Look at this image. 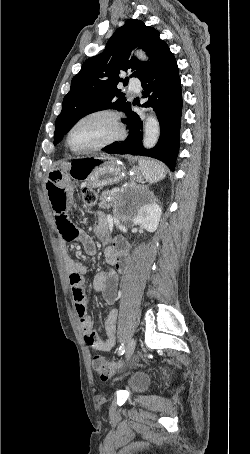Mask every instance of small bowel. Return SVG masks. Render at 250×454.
Wrapping results in <instances>:
<instances>
[{
	"mask_svg": "<svg viewBox=\"0 0 250 454\" xmlns=\"http://www.w3.org/2000/svg\"><path fill=\"white\" fill-rule=\"evenodd\" d=\"M76 190L77 183L71 175L56 171L50 173L46 182V192L54 212L59 233L68 242L79 239L84 251L88 255H93L96 252L95 242L75 227L68 214ZM95 232L101 241H108L107 224L103 216L99 217ZM105 260L109 268L95 275L93 287L103 295L107 304L113 305L117 301L118 283L120 276L125 271L127 261V246L122 239L117 238L111 245L106 247ZM64 262L68 272V280L76 314L83 331L85 342L97 351L106 352L111 350L115 344L117 310L111 309L108 313L105 320L106 336L99 338L97 332L92 327L91 318L87 314L84 284L88 278L89 270L85 265L74 261L68 255L64 256Z\"/></svg>",
	"mask_w": 250,
	"mask_h": 454,
	"instance_id": "c3829d8e",
	"label": "small bowel"
}]
</instances>
